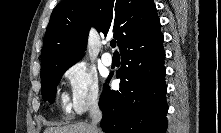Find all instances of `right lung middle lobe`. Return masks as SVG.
Listing matches in <instances>:
<instances>
[{"instance_id":"right-lung-middle-lobe-1","label":"right lung middle lobe","mask_w":221,"mask_h":133,"mask_svg":"<svg viewBox=\"0 0 221 133\" xmlns=\"http://www.w3.org/2000/svg\"><path fill=\"white\" fill-rule=\"evenodd\" d=\"M76 62H64L53 64L41 70V90L44 101L53 102L56 94V86L64 72Z\"/></svg>"}]
</instances>
